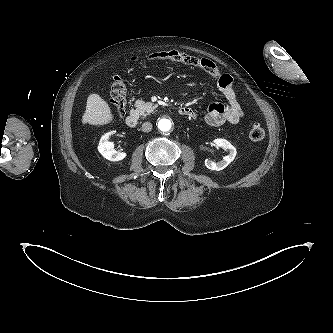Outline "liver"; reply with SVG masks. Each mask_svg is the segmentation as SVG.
Instances as JSON below:
<instances>
[{
  "label": "liver",
  "instance_id": "obj_1",
  "mask_svg": "<svg viewBox=\"0 0 333 333\" xmlns=\"http://www.w3.org/2000/svg\"><path fill=\"white\" fill-rule=\"evenodd\" d=\"M108 103L98 94H90L87 98L86 110L82 116L83 124L105 125L113 120Z\"/></svg>",
  "mask_w": 333,
  "mask_h": 333
}]
</instances>
